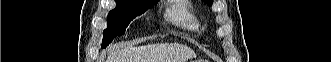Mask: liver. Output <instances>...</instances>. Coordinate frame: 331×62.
I'll return each instance as SVG.
<instances>
[{"label":"liver","instance_id":"1","mask_svg":"<svg viewBox=\"0 0 331 62\" xmlns=\"http://www.w3.org/2000/svg\"><path fill=\"white\" fill-rule=\"evenodd\" d=\"M192 49L181 44H150L114 51L107 62H185L194 57Z\"/></svg>","mask_w":331,"mask_h":62}]
</instances>
